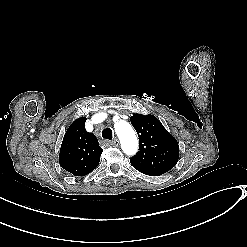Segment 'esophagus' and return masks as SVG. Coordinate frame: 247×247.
Instances as JSON below:
<instances>
[{
  "mask_svg": "<svg viewBox=\"0 0 247 247\" xmlns=\"http://www.w3.org/2000/svg\"><path fill=\"white\" fill-rule=\"evenodd\" d=\"M112 146H118L119 145V141L118 140H114L113 142H111Z\"/></svg>",
  "mask_w": 247,
  "mask_h": 247,
  "instance_id": "1",
  "label": "esophagus"
}]
</instances>
